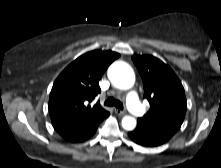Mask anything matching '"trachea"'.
<instances>
[{"instance_id":"1","label":"trachea","mask_w":221,"mask_h":168,"mask_svg":"<svg viewBox=\"0 0 221 168\" xmlns=\"http://www.w3.org/2000/svg\"><path fill=\"white\" fill-rule=\"evenodd\" d=\"M104 104H105L106 106H115L116 108H118V109H120V110L123 109V104H122V102H120L119 100H116V99L113 98V97L108 98V99L104 102Z\"/></svg>"}]
</instances>
